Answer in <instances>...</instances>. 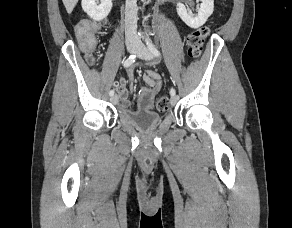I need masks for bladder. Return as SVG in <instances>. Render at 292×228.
I'll return each instance as SVG.
<instances>
[{
  "label": "bladder",
  "mask_w": 292,
  "mask_h": 228,
  "mask_svg": "<svg viewBox=\"0 0 292 228\" xmlns=\"http://www.w3.org/2000/svg\"><path fill=\"white\" fill-rule=\"evenodd\" d=\"M122 116L134 127L139 129H150L159 125L161 116L154 111L143 113L123 112Z\"/></svg>",
  "instance_id": "31cf9c89"
}]
</instances>
